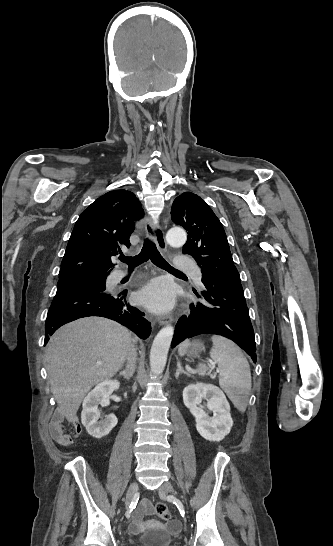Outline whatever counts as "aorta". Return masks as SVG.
Here are the masks:
<instances>
[{"label": "aorta", "instance_id": "762f6f07", "mask_svg": "<svg viewBox=\"0 0 333 546\" xmlns=\"http://www.w3.org/2000/svg\"><path fill=\"white\" fill-rule=\"evenodd\" d=\"M166 240L172 247H181L187 240V234L184 229L173 227L168 230ZM173 334L174 328L171 325H167L159 331L153 341L150 351V368L154 375H160L166 366Z\"/></svg>", "mask_w": 333, "mask_h": 546}]
</instances>
